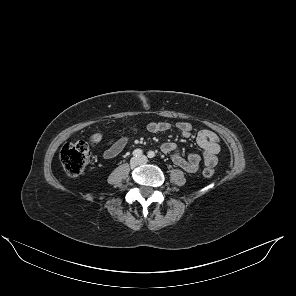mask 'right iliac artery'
<instances>
[{
  "instance_id": "right-iliac-artery-1",
  "label": "right iliac artery",
  "mask_w": 296,
  "mask_h": 296,
  "mask_svg": "<svg viewBox=\"0 0 296 296\" xmlns=\"http://www.w3.org/2000/svg\"><path fill=\"white\" fill-rule=\"evenodd\" d=\"M142 153H143V151L141 149H136V150L133 151V155L135 157H138V156L142 155Z\"/></svg>"
}]
</instances>
